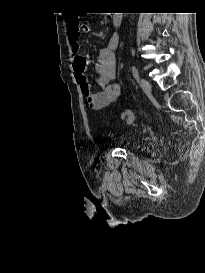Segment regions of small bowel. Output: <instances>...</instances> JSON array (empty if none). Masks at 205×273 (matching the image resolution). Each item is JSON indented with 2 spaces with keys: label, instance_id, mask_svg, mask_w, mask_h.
<instances>
[{
  "label": "small bowel",
  "instance_id": "obj_1",
  "mask_svg": "<svg viewBox=\"0 0 205 273\" xmlns=\"http://www.w3.org/2000/svg\"><path fill=\"white\" fill-rule=\"evenodd\" d=\"M80 23L78 20L69 21L67 24V34L69 44L74 54L73 72L78 85L85 99V105L93 110H102L114 101L120 94V86L116 80V56L115 50L119 44L118 36H113L109 43L98 52V58L95 63L97 73V84L99 91H91L88 78L85 74L87 56L81 52L79 36L82 31H87L88 26L83 25L80 28L74 27V24Z\"/></svg>",
  "mask_w": 205,
  "mask_h": 273
}]
</instances>
